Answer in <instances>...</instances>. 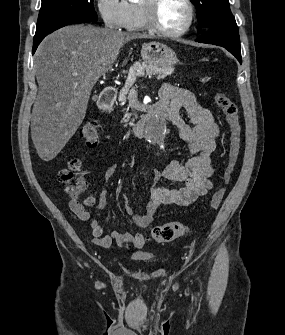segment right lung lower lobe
Wrapping results in <instances>:
<instances>
[{"mask_svg":"<svg viewBox=\"0 0 285 335\" xmlns=\"http://www.w3.org/2000/svg\"><path fill=\"white\" fill-rule=\"evenodd\" d=\"M88 22L86 19H80V18H64L57 20L55 22H52L48 24L47 26L36 29V34L34 36V42H33V50L32 53L34 54L35 50L37 49L40 42L44 39L45 36H47L49 33L62 28L66 25L73 24V23H85Z\"/></svg>","mask_w":285,"mask_h":335,"instance_id":"1","label":"right lung lower lobe"}]
</instances>
